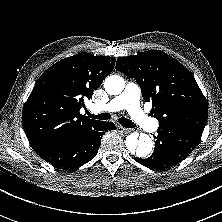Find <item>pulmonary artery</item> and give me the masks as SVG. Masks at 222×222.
<instances>
[{"label":"pulmonary artery","mask_w":222,"mask_h":222,"mask_svg":"<svg viewBox=\"0 0 222 222\" xmlns=\"http://www.w3.org/2000/svg\"><path fill=\"white\" fill-rule=\"evenodd\" d=\"M140 88L135 83H128L124 91L106 104H96L91 106V111L114 112L126 109L132 121L140 128L147 131H154L157 128V121L146 114L139 105Z\"/></svg>","instance_id":"pulmonary-artery-1"}]
</instances>
